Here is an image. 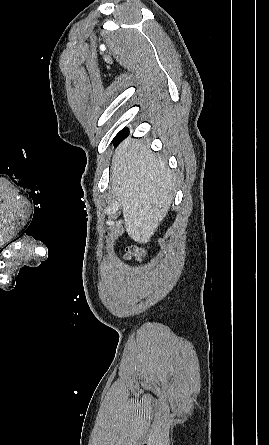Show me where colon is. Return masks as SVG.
Masks as SVG:
<instances>
[{"label": "colon", "instance_id": "1", "mask_svg": "<svg viewBox=\"0 0 269 445\" xmlns=\"http://www.w3.org/2000/svg\"><path fill=\"white\" fill-rule=\"evenodd\" d=\"M143 255V250L138 247H129L126 251V258L127 259H140Z\"/></svg>", "mask_w": 269, "mask_h": 445}]
</instances>
